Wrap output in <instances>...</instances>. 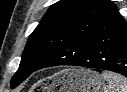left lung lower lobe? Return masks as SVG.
<instances>
[{"instance_id":"1","label":"left lung lower lobe","mask_w":127,"mask_h":92,"mask_svg":"<svg viewBox=\"0 0 127 92\" xmlns=\"http://www.w3.org/2000/svg\"><path fill=\"white\" fill-rule=\"evenodd\" d=\"M57 65L104 69L127 77V23L118 10L74 36L39 69Z\"/></svg>"}]
</instances>
